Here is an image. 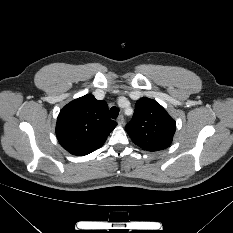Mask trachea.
I'll return each instance as SVG.
<instances>
[{"instance_id": "3493384b", "label": "trachea", "mask_w": 233, "mask_h": 233, "mask_svg": "<svg viewBox=\"0 0 233 233\" xmlns=\"http://www.w3.org/2000/svg\"><path fill=\"white\" fill-rule=\"evenodd\" d=\"M109 114H110V117H111L112 119H116V118L118 117V115H119V109H118L117 107L113 106V107L110 109Z\"/></svg>"}]
</instances>
